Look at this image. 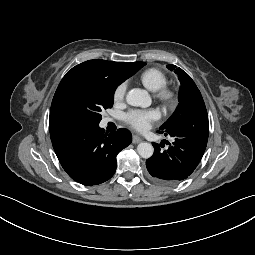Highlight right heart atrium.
<instances>
[{
    "instance_id": "obj_1",
    "label": "right heart atrium",
    "mask_w": 255,
    "mask_h": 255,
    "mask_svg": "<svg viewBox=\"0 0 255 255\" xmlns=\"http://www.w3.org/2000/svg\"><path fill=\"white\" fill-rule=\"evenodd\" d=\"M127 85L126 83H120L113 92V100L116 103H120L124 100L126 94Z\"/></svg>"
}]
</instances>
